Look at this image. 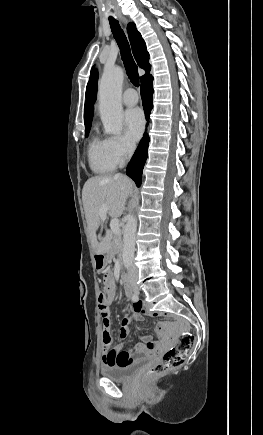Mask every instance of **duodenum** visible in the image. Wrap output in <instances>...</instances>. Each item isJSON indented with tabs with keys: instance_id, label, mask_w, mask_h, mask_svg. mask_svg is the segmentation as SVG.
<instances>
[{
	"instance_id": "obj_1",
	"label": "duodenum",
	"mask_w": 263,
	"mask_h": 435,
	"mask_svg": "<svg viewBox=\"0 0 263 435\" xmlns=\"http://www.w3.org/2000/svg\"><path fill=\"white\" fill-rule=\"evenodd\" d=\"M121 280H122V283H123V285H124L126 295H127V296H130L131 293H132V291H131V286H130V283H129V281H128L127 276H126L125 274H122V275H121Z\"/></svg>"
}]
</instances>
